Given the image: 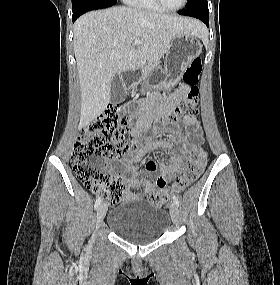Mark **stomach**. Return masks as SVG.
I'll list each match as a JSON object with an SVG mask.
<instances>
[{"mask_svg":"<svg viewBox=\"0 0 280 285\" xmlns=\"http://www.w3.org/2000/svg\"><path fill=\"white\" fill-rule=\"evenodd\" d=\"M202 52V44L195 35L182 33L174 37L166 52L164 73L169 83H177L186 66Z\"/></svg>","mask_w":280,"mask_h":285,"instance_id":"0dacf381","label":"stomach"}]
</instances>
